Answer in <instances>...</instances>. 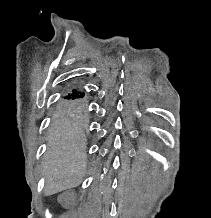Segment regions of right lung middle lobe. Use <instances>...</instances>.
<instances>
[{
  "label": "right lung middle lobe",
  "mask_w": 211,
  "mask_h": 218,
  "mask_svg": "<svg viewBox=\"0 0 211 218\" xmlns=\"http://www.w3.org/2000/svg\"><path fill=\"white\" fill-rule=\"evenodd\" d=\"M87 107L88 103L84 98H62L57 105V109L61 112L83 111Z\"/></svg>",
  "instance_id": "obj_1"
}]
</instances>
